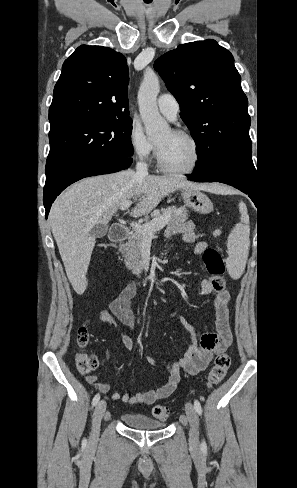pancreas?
<instances>
[{"instance_id": "cf45deb5", "label": "pancreas", "mask_w": 297, "mask_h": 488, "mask_svg": "<svg viewBox=\"0 0 297 488\" xmlns=\"http://www.w3.org/2000/svg\"><path fill=\"white\" fill-rule=\"evenodd\" d=\"M164 214L168 215L167 224H182L188 219V214L184 207H169L163 211ZM153 215H157V211ZM145 221V224L151 222L147 218ZM143 240V234L138 230H133L128 237V242L121 244L119 247V251L125 259L126 267L134 273H138L143 269V263L140 257Z\"/></svg>"}]
</instances>
